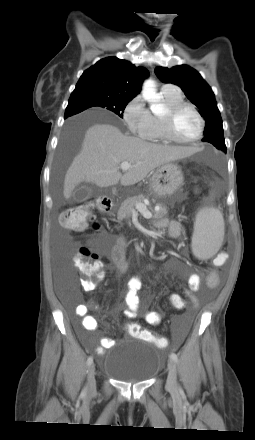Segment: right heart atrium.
I'll return each instance as SVG.
<instances>
[{"mask_svg": "<svg viewBox=\"0 0 255 440\" xmlns=\"http://www.w3.org/2000/svg\"><path fill=\"white\" fill-rule=\"evenodd\" d=\"M123 119L133 134L145 137L153 128V116L141 95L135 96L125 107Z\"/></svg>", "mask_w": 255, "mask_h": 440, "instance_id": "1", "label": "right heart atrium"}]
</instances>
